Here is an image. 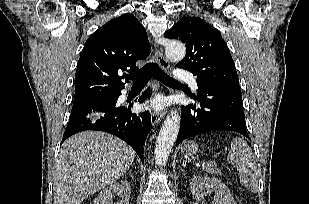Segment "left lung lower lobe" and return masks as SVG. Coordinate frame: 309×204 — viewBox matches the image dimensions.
I'll list each match as a JSON object with an SVG mask.
<instances>
[{"label": "left lung lower lobe", "instance_id": "1", "mask_svg": "<svg viewBox=\"0 0 309 204\" xmlns=\"http://www.w3.org/2000/svg\"><path fill=\"white\" fill-rule=\"evenodd\" d=\"M196 82L197 96L191 98L200 103L182 106L176 146L186 138L215 130L236 131L248 137L240 88Z\"/></svg>", "mask_w": 309, "mask_h": 204}]
</instances>
